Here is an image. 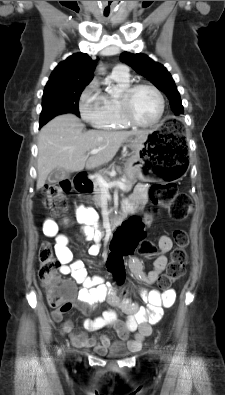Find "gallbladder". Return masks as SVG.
<instances>
[{"label": "gallbladder", "instance_id": "gallbladder-1", "mask_svg": "<svg viewBox=\"0 0 225 395\" xmlns=\"http://www.w3.org/2000/svg\"><path fill=\"white\" fill-rule=\"evenodd\" d=\"M68 177L69 172L63 169H55L48 175L47 182L49 184H56Z\"/></svg>", "mask_w": 225, "mask_h": 395}]
</instances>
